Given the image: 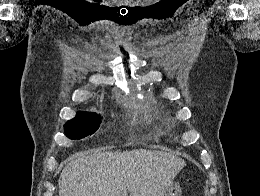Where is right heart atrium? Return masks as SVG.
<instances>
[{
    "mask_svg": "<svg viewBox=\"0 0 260 196\" xmlns=\"http://www.w3.org/2000/svg\"><path fill=\"white\" fill-rule=\"evenodd\" d=\"M133 192H151V190H132Z\"/></svg>",
    "mask_w": 260,
    "mask_h": 196,
    "instance_id": "d8ad5b80",
    "label": "right heart atrium"
}]
</instances>
